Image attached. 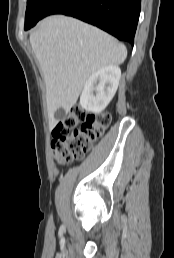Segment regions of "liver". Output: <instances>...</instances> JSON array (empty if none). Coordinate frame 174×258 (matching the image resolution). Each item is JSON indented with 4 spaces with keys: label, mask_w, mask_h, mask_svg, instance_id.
<instances>
[{
    "label": "liver",
    "mask_w": 174,
    "mask_h": 258,
    "mask_svg": "<svg viewBox=\"0 0 174 258\" xmlns=\"http://www.w3.org/2000/svg\"><path fill=\"white\" fill-rule=\"evenodd\" d=\"M30 43L45 80L50 129L57 123L55 112L70 111L93 73L127 57L126 47L114 37L64 15L43 19Z\"/></svg>",
    "instance_id": "obj_1"
}]
</instances>
